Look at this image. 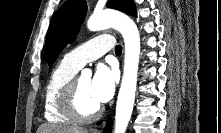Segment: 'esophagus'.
<instances>
[{
	"mask_svg": "<svg viewBox=\"0 0 221 133\" xmlns=\"http://www.w3.org/2000/svg\"><path fill=\"white\" fill-rule=\"evenodd\" d=\"M94 133H100V132L96 130V131H94Z\"/></svg>",
	"mask_w": 221,
	"mask_h": 133,
	"instance_id": "1",
	"label": "esophagus"
}]
</instances>
